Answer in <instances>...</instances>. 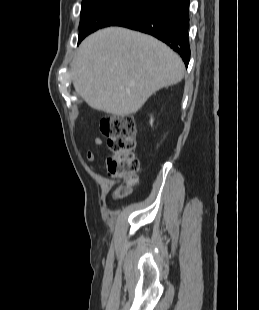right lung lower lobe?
Returning a JSON list of instances; mask_svg holds the SVG:
<instances>
[{"label":"right lung lower lobe","mask_w":259,"mask_h":310,"mask_svg":"<svg viewBox=\"0 0 259 310\" xmlns=\"http://www.w3.org/2000/svg\"><path fill=\"white\" fill-rule=\"evenodd\" d=\"M114 26L155 36L176 51L188 66L189 0H157L153 5L118 21Z\"/></svg>","instance_id":"98d812e1"}]
</instances>
